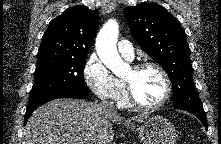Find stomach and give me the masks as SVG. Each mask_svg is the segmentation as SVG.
Returning <instances> with one entry per match:
<instances>
[{"mask_svg":"<svg viewBox=\"0 0 221 144\" xmlns=\"http://www.w3.org/2000/svg\"><path fill=\"white\" fill-rule=\"evenodd\" d=\"M139 134L143 144H174L177 132L174 125L163 116H153L140 126L128 125Z\"/></svg>","mask_w":221,"mask_h":144,"instance_id":"stomach-1","label":"stomach"}]
</instances>
